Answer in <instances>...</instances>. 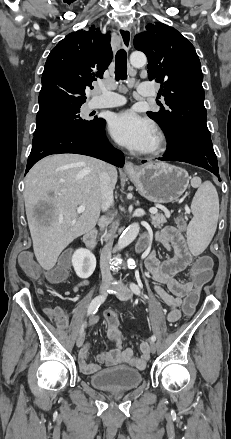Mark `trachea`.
I'll return each mask as SVG.
<instances>
[{
    "label": "trachea",
    "mask_w": 231,
    "mask_h": 439,
    "mask_svg": "<svg viewBox=\"0 0 231 439\" xmlns=\"http://www.w3.org/2000/svg\"><path fill=\"white\" fill-rule=\"evenodd\" d=\"M127 78V53L120 49L115 57V79L124 80Z\"/></svg>",
    "instance_id": "1"
}]
</instances>
